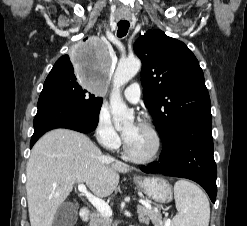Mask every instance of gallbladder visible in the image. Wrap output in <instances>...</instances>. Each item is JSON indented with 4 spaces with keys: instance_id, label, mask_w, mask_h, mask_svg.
<instances>
[{
    "instance_id": "1",
    "label": "gallbladder",
    "mask_w": 247,
    "mask_h": 226,
    "mask_svg": "<svg viewBox=\"0 0 247 226\" xmlns=\"http://www.w3.org/2000/svg\"><path fill=\"white\" fill-rule=\"evenodd\" d=\"M78 205L76 203H64L57 209L52 226H74L77 222Z\"/></svg>"
}]
</instances>
